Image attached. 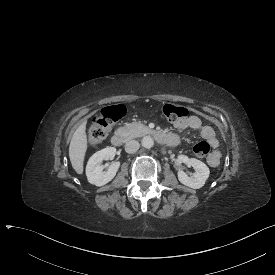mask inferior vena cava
I'll use <instances>...</instances> for the list:
<instances>
[{"label": "inferior vena cava", "instance_id": "inferior-vena-cava-1", "mask_svg": "<svg viewBox=\"0 0 275 275\" xmlns=\"http://www.w3.org/2000/svg\"><path fill=\"white\" fill-rule=\"evenodd\" d=\"M140 147V144L136 140H131L125 144V151L127 153H135Z\"/></svg>", "mask_w": 275, "mask_h": 275}]
</instances>
